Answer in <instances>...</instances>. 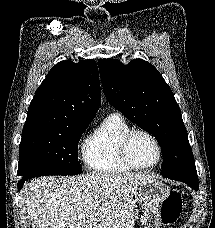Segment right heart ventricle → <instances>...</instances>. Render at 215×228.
<instances>
[{
  "instance_id": "1",
  "label": "right heart ventricle",
  "mask_w": 215,
  "mask_h": 228,
  "mask_svg": "<svg viewBox=\"0 0 215 228\" xmlns=\"http://www.w3.org/2000/svg\"><path fill=\"white\" fill-rule=\"evenodd\" d=\"M131 125L120 113L107 115L85 139L82 147L87 168L102 174H120L130 171L120 159L118 142Z\"/></svg>"
}]
</instances>
